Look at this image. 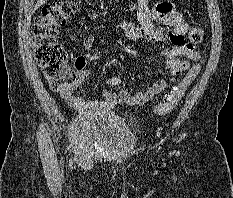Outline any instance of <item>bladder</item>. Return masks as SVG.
I'll list each match as a JSON object with an SVG mask.
<instances>
[{
  "instance_id": "bladder-1",
  "label": "bladder",
  "mask_w": 233,
  "mask_h": 198,
  "mask_svg": "<svg viewBox=\"0 0 233 198\" xmlns=\"http://www.w3.org/2000/svg\"><path fill=\"white\" fill-rule=\"evenodd\" d=\"M138 126L111 112H86L72 123L75 146L86 154L124 153L135 144Z\"/></svg>"
}]
</instances>
